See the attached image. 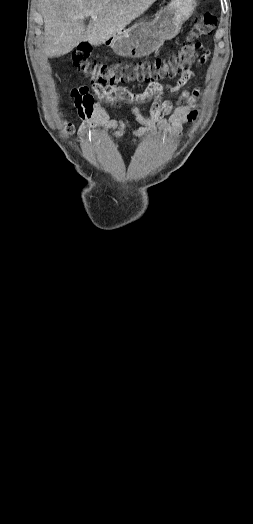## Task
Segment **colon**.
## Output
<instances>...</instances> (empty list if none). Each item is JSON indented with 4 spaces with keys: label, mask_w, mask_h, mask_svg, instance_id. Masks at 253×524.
Wrapping results in <instances>:
<instances>
[{
    "label": "colon",
    "mask_w": 253,
    "mask_h": 524,
    "mask_svg": "<svg viewBox=\"0 0 253 524\" xmlns=\"http://www.w3.org/2000/svg\"><path fill=\"white\" fill-rule=\"evenodd\" d=\"M216 24L217 18L211 12L198 17L191 29L185 34L180 48L167 58L105 65L89 60V45L83 43L73 51L72 62L77 71L91 80L93 89L96 90H110L118 83L131 81L156 82L166 78H173L178 72L186 71L195 60L198 51L194 49V46L201 44L199 38L210 36ZM195 38H198V41H195ZM92 104L91 99L82 100L76 104L79 115H90ZM65 127L69 133L74 131V125L71 122H66Z\"/></svg>",
    "instance_id": "5ec220e1"
}]
</instances>
